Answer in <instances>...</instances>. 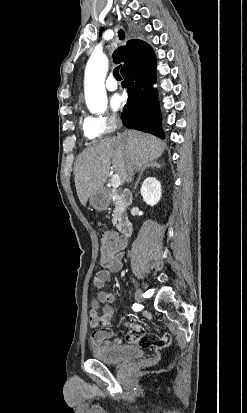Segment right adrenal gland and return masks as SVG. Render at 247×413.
Segmentation results:
<instances>
[{
    "label": "right adrenal gland",
    "mask_w": 247,
    "mask_h": 413,
    "mask_svg": "<svg viewBox=\"0 0 247 413\" xmlns=\"http://www.w3.org/2000/svg\"><path fill=\"white\" fill-rule=\"evenodd\" d=\"M149 166H156V168H161V164H159V162H156V160H150V162H148V164H145L144 168H141V170L139 172L138 180H136L134 188H137L138 182H139L144 170H146V168H149Z\"/></svg>",
    "instance_id": "2a0ac1e0"
}]
</instances>
